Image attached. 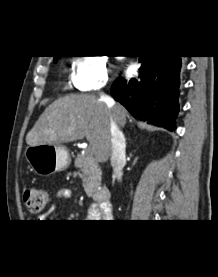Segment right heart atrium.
Returning a JSON list of instances; mask_svg holds the SVG:
<instances>
[{"mask_svg":"<svg viewBox=\"0 0 218 277\" xmlns=\"http://www.w3.org/2000/svg\"><path fill=\"white\" fill-rule=\"evenodd\" d=\"M108 81V65L104 55L87 53L81 55L73 66L69 85L78 91L97 90Z\"/></svg>","mask_w":218,"mask_h":277,"instance_id":"1","label":"right heart atrium"}]
</instances>
